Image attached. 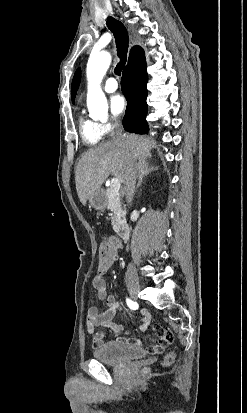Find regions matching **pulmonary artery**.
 Returning a JSON list of instances; mask_svg holds the SVG:
<instances>
[{
  "label": "pulmonary artery",
  "instance_id": "1",
  "mask_svg": "<svg viewBox=\"0 0 247 413\" xmlns=\"http://www.w3.org/2000/svg\"><path fill=\"white\" fill-rule=\"evenodd\" d=\"M103 88L107 93H112L117 90L118 82L115 78L110 77L103 83Z\"/></svg>",
  "mask_w": 247,
  "mask_h": 413
}]
</instances>
